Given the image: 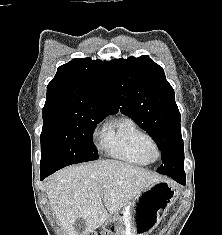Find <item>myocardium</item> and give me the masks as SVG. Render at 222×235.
Masks as SVG:
<instances>
[{"label":"myocardium","instance_id":"1","mask_svg":"<svg viewBox=\"0 0 222 235\" xmlns=\"http://www.w3.org/2000/svg\"><path fill=\"white\" fill-rule=\"evenodd\" d=\"M153 153L155 154V157L152 156ZM161 156V150L156 143L147 146L144 150V157L148 163L158 162L161 159Z\"/></svg>","mask_w":222,"mask_h":235}]
</instances>
